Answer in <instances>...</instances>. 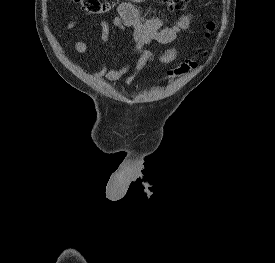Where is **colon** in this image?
Wrapping results in <instances>:
<instances>
[{
	"instance_id": "1",
	"label": "colon",
	"mask_w": 275,
	"mask_h": 263,
	"mask_svg": "<svg viewBox=\"0 0 275 263\" xmlns=\"http://www.w3.org/2000/svg\"><path fill=\"white\" fill-rule=\"evenodd\" d=\"M74 3L81 5L82 9L90 14L102 15L108 13L113 9V7L118 3V0H72ZM169 8L170 11L179 12L186 8L189 0H162ZM214 23L210 22L207 24L208 30H214ZM197 66V61L195 59H187L183 61L180 65L171 69L168 75L182 76L187 74Z\"/></svg>"
}]
</instances>
